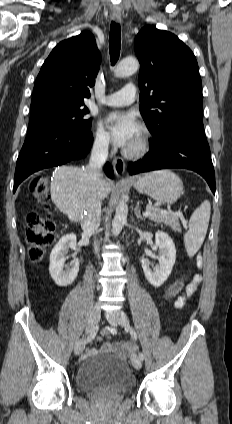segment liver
<instances>
[{
	"label": "liver",
	"instance_id": "6515ba94",
	"mask_svg": "<svg viewBox=\"0 0 232 424\" xmlns=\"http://www.w3.org/2000/svg\"><path fill=\"white\" fill-rule=\"evenodd\" d=\"M91 180L85 169L74 166H61L55 172L51 182V198L54 204L71 221L79 222L89 208ZM111 191V182L104 180L102 199Z\"/></svg>",
	"mask_w": 232,
	"mask_h": 424
}]
</instances>
